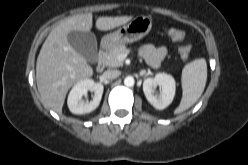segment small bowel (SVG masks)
<instances>
[{"instance_id": "c3829d8e", "label": "small bowel", "mask_w": 248, "mask_h": 165, "mask_svg": "<svg viewBox=\"0 0 248 165\" xmlns=\"http://www.w3.org/2000/svg\"><path fill=\"white\" fill-rule=\"evenodd\" d=\"M141 55L153 67L159 65L167 55L165 47H155L152 44H145L140 49Z\"/></svg>"}]
</instances>
